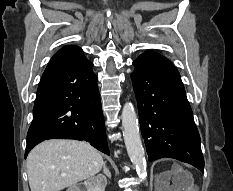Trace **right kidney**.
I'll list each match as a JSON object with an SVG mask.
<instances>
[{"instance_id":"1","label":"right kidney","mask_w":233,"mask_h":191,"mask_svg":"<svg viewBox=\"0 0 233 191\" xmlns=\"http://www.w3.org/2000/svg\"><path fill=\"white\" fill-rule=\"evenodd\" d=\"M89 187L88 191H104L105 185H102L96 181V179L92 178L90 182L87 183ZM67 191H76L75 189H70Z\"/></svg>"}]
</instances>
